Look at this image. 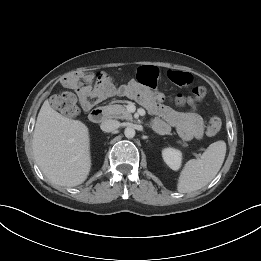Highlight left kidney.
Masks as SVG:
<instances>
[{
	"mask_svg": "<svg viewBox=\"0 0 261 261\" xmlns=\"http://www.w3.org/2000/svg\"><path fill=\"white\" fill-rule=\"evenodd\" d=\"M164 162L172 169L179 170L182 163V153L175 148H165L162 150Z\"/></svg>",
	"mask_w": 261,
	"mask_h": 261,
	"instance_id": "1",
	"label": "left kidney"
}]
</instances>
